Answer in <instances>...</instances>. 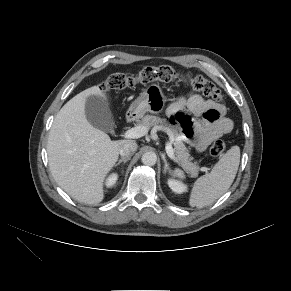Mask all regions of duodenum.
Wrapping results in <instances>:
<instances>
[{"instance_id":"duodenum-1","label":"duodenum","mask_w":291,"mask_h":291,"mask_svg":"<svg viewBox=\"0 0 291 291\" xmlns=\"http://www.w3.org/2000/svg\"><path fill=\"white\" fill-rule=\"evenodd\" d=\"M135 119V115L133 113H129L127 115V122H132Z\"/></svg>"}]
</instances>
